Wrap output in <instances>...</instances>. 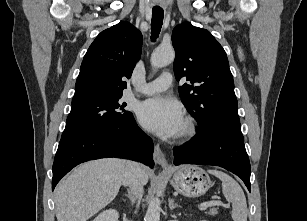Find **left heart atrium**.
Here are the masks:
<instances>
[{"label": "left heart atrium", "mask_w": 307, "mask_h": 221, "mask_svg": "<svg viewBox=\"0 0 307 221\" xmlns=\"http://www.w3.org/2000/svg\"><path fill=\"white\" fill-rule=\"evenodd\" d=\"M137 115L143 127L165 138L179 135L184 125L181 106L162 96L142 102Z\"/></svg>", "instance_id": "1"}]
</instances>
